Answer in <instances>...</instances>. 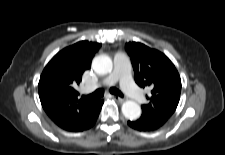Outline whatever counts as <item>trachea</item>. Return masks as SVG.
<instances>
[{
	"mask_svg": "<svg viewBox=\"0 0 225 155\" xmlns=\"http://www.w3.org/2000/svg\"><path fill=\"white\" fill-rule=\"evenodd\" d=\"M110 93L123 97V94L120 90H118L117 88H110ZM104 94L103 89H97L95 92H93L92 94L88 95L87 97L89 98H99L102 97Z\"/></svg>",
	"mask_w": 225,
	"mask_h": 155,
	"instance_id": "1",
	"label": "trachea"
}]
</instances>
